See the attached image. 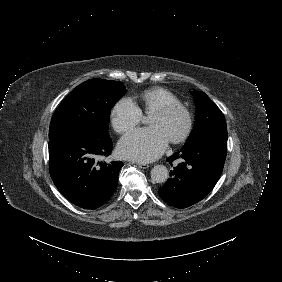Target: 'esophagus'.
Instances as JSON below:
<instances>
[{
	"label": "esophagus",
	"mask_w": 282,
	"mask_h": 282,
	"mask_svg": "<svg viewBox=\"0 0 282 282\" xmlns=\"http://www.w3.org/2000/svg\"><path fill=\"white\" fill-rule=\"evenodd\" d=\"M138 167H140L141 169H147L149 167L148 164L145 163H136Z\"/></svg>",
	"instance_id": "1"
}]
</instances>
